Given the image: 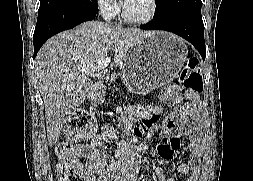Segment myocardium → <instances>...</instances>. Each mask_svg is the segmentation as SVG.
<instances>
[{"instance_id":"obj_1","label":"myocardium","mask_w":253,"mask_h":181,"mask_svg":"<svg viewBox=\"0 0 253 181\" xmlns=\"http://www.w3.org/2000/svg\"><path fill=\"white\" fill-rule=\"evenodd\" d=\"M151 3V8L149 13L145 16V17H141V18H136V17H132L131 15H129L124 6L122 7V17L123 19L131 24H135V25H145L150 23L156 16L157 11H158V1L157 0H150Z\"/></svg>"}]
</instances>
